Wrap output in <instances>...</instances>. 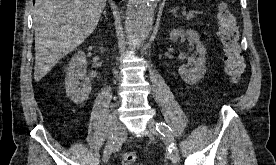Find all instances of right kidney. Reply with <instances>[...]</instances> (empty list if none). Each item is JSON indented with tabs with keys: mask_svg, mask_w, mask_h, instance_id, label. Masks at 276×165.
<instances>
[{
	"mask_svg": "<svg viewBox=\"0 0 276 165\" xmlns=\"http://www.w3.org/2000/svg\"><path fill=\"white\" fill-rule=\"evenodd\" d=\"M87 59L83 51H78L66 68V95L75 103L86 101L91 92V83L86 75Z\"/></svg>",
	"mask_w": 276,
	"mask_h": 165,
	"instance_id": "right-kidney-1",
	"label": "right kidney"
}]
</instances>
